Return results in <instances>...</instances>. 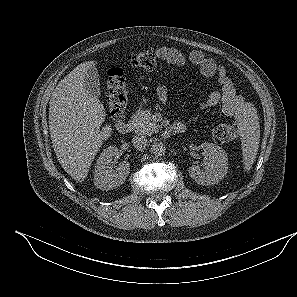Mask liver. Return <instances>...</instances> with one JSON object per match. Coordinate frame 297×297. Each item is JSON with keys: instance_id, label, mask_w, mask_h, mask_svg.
Wrapping results in <instances>:
<instances>
[{"instance_id": "1", "label": "liver", "mask_w": 297, "mask_h": 297, "mask_svg": "<svg viewBox=\"0 0 297 297\" xmlns=\"http://www.w3.org/2000/svg\"><path fill=\"white\" fill-rule=\"evenodd\" d=\"M96 61H86L71 71L54 89L49 102L52 146L62 168L77 182L87 177L95 155L111 133L105 126V109L88 95L83 79Z\"/></svg>"}]
</instances>
